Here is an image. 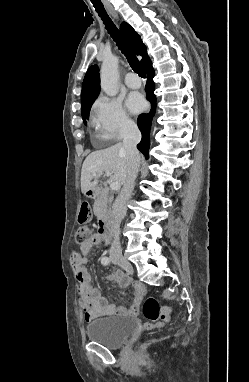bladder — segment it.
Here are the masks:
<instances>
[{
  "label": "bladder",
  "instance_id": "1",
  "mask_svg": "<svg viewBox=\"0 0 249 382\" xmlns=\"http://www.w3.org/2000/svg\"><path fill=\"white\" fill-rule=\"evenodd\" d=\"M136 319L132 316H109L93 320L86 328L88 340L107 348L122 346L132 334Z\"/></svg>",
  "mask_w": 249,
  "mask_h": 382
}]
</instances>
